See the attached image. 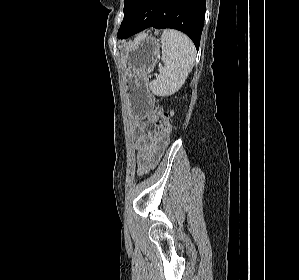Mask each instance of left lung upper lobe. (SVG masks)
<instances>
[{"mask_svg": "<svg viewBox=\"0 0 299 280\" xmlns=\"http://www.w3.org/2000/svg\"><path fill=\"white\" fill-rule=\"evenodd\" d=\"M134 0H125V3H124V19L121 23V27L118 31V34L117 36L119 37V35L121 34L124 26L127 24L128 20H129V17H130V13L132 11V3H133Z\"/></svg>", "mask_w": 299, "mask_h": 280, "instance_id": "obj_1", "label": "left lung upper lobe"}]
</instances>
